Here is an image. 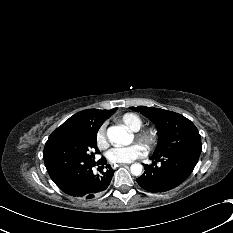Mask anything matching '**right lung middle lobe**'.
<instances>
[{
  "mask_svg": "<svg viewBox=\"0 0 233 233\" xmlns=\"http://www.w3.org/2000/svg\"><path fill=\"white\" fill-rule=\"evenodd\" d=\"M100 127L57 135L44 150V162L52 180L58 185L96 164L97 132Z\"/></svg>",
  "mask_w": 233,
  "mask_h": 233,
  "instance_id": "right-lung-middle-lobe-1",
  "label": "right lung middle lobe"
}]
</instances>
